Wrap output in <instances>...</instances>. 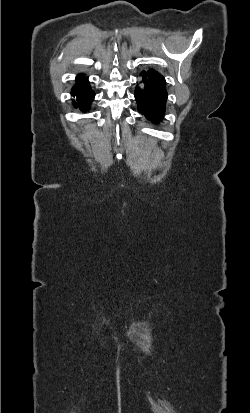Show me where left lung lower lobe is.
Masks as SVG:
<instances>
[{"instance_id":"0a47b994","label":"left lung lower lobe","mask_w":250,"mask_h":413,"mask_svg":"<svg viewBox=\"0 0 250 413\" xmlns=\"http://www.w3.org/2000/svg\"><path fill=\"white\" fill-rule=\"evenodd\" d=\"M138 111L152 122H159L165 112V79L153 69L143 71L135 89Z\"/></svg>"}]
</instances>
